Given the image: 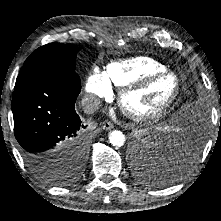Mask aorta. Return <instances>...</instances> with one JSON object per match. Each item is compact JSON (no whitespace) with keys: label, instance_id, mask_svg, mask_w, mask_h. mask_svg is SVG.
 <instances>
[{"label":"aorta","instance_id":"1","mask_svg":"<svg viewBox=\"0 0 221 221\" xmlns=\"http://www.w3.org/2000/svg\"><path fill=\"white\" fill-rule=\"evenodd\" d=\"M109 142L115 147H121L125 143V135L119 130H114L109 134Z\"/></svg>","mask_w":221,"mask_h":221}]
</instances>
